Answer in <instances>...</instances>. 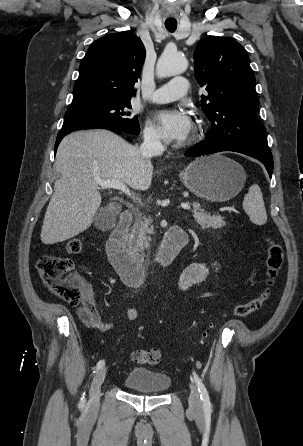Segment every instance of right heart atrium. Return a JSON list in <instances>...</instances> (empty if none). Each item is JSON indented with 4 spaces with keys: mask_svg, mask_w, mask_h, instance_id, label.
I'll return each mask as SVG.
<instances>
[{
    "mask_svg": "<svg viewBox=\"0 0 303 446\" xmlns=\"http://www.w3.org/2000/svg\"><path fill=\"white\" fill-rule=\"evenodd\" d=\"M143 136L149 144H160L164 138L159 129L150 121H147L143 130Z\"/></svg>",
    "mask_w": 303,
    "mask_h": 446,
    "instance_id": "1",
    "label": "right heart atrium"
}]
</instances>
